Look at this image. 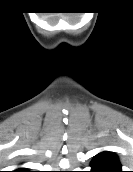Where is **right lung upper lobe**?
Returning a JSON list of instances; mask_svg holds the SVG:
<instances>
[{"instance_id": "obj_1", "label": "right lung upper lobe", "mask_w": 133, "mask_h": 172, "mask_svg": "<svg viewBox=\"0 0 133 172\" xmlns=\"http://www.w3.org/2000/svg\"><path fill=\"white\" fill-rule=\"evenodd\" d=\"M12 172H35V171H29V170H27L25 168H19L17 170L12 171Z\"/></svg>"}]
</instances>
